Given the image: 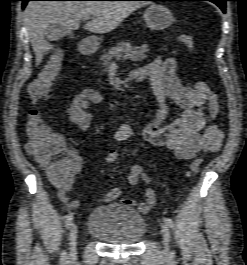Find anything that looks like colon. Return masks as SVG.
<instances>
[{
    "label": "colon",
    "instance_id": "1",
    "mask_svg": "<svg viewBox=\"0 0 247 265\" xmlns=\"http://www.w3.org/2000/svg\"><path fill=\"white\" fill-rule=\"evenodd\" d=\"M177 41L189 50L194 48V38L188 33L178 34ZM62 65V52H53L28 90L34 107L28 113L27 133L29 141L26 149L34 160L47 171L50 179L54 180H63L67 177L70 171V162L63 153V139L45 125L39 104L46 99L51 83L60 72ZM118 159V151L113 150L107 155L106 162L113 165ZM201 164V158L193 160L190 164V173H197Z\"/></svg>",
    "mask_w": 247,
    "mask_h": 265
}]
</instances>
